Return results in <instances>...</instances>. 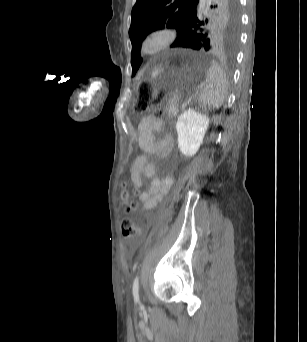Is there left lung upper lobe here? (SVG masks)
Returning <instances> with one entry per match:
<instances>
[{"instance_id": "5c2ea615", "label": "left lung upper lobe", "mask_w": 307, "mask_h": 342, "mask_svg": "<svg viewBox=\"0 0 307 342\" xmlns=\"http://www.w3.org/2000/svg\"><path fill=\"white\" fill-rule=\"evenodd\" d=\"M239 25L238 0H209L204 12L199 0H137L129 30L133 75L142 63L141 43L152 31L175 28L178 36L171 47L233 54Z\"/></svg>"}]
</instances>
